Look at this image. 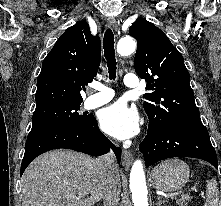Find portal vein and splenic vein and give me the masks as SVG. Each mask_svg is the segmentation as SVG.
<instances>
[{
  "label": "portal vein and splenic vein",
  "instance_id": "18ae733b",
  "mask_svg": "<svg viewBox=\"0 0 221 206\" xmlns=\"http://www.w3.org/2000/svg\"><path fill=\"white\" fill-rule=\"evenodd\" d=\"M176 195H178V193H171V194H168V195L166 196V198H171V199H173Z\"/></svg>",
  "mask_w": 221,
  "mask_h": 206
}]
</instances>
